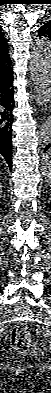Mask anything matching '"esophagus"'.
<instances>
[{"label":"esophagus","mask_w":51,"mask_h":393,"mask_svg":"<svg viewBox=\"0 0 51 393\" xmlns=\"http://www.w3.org/2000/svg\"><path fill=\"white\" fill-rule=\"evenodd\" d=\"M34 98H35L36 102H37L39 105H42V102L40 101V99H39V97H38L37 95L34 96ZM42 110L46 111V110H47V107L45 106Z\"/></svg>","instance_id":"obj_1"}]
</instances>
